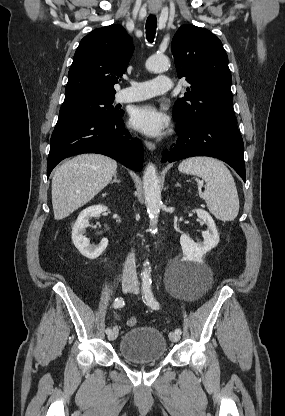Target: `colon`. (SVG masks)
<instances>
[{
  "label": "colon",
  "instance_id": "colon-1",
  "mask_svg": "<svg viewBox=\"0 0 285 416\" xmlns=\"http://www.w3.org/2000/svg\"><path fill=\"white\" fill-rule=\"evenodd\" d=\"M136 324H137V319H136V318H134V317H131V318H129V319L127 320V325H128L129 327L136 326Z\"/></svg>",
  "mask_w": 285,
  "mask_h": 416
}]
</instances>
